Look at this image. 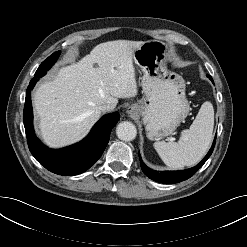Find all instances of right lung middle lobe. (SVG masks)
Listing matches in <instances>:
<instances>
[{
  "label": "right lung middle lobe",
  "instance_id": "obj_1",
  "mask_svg": "<svg viewBox=\"0 0 247 247\" xmlns=\"http://www.w3.org/2000/svg\"><path fill=\"white\" fill-rule=\"evenodd\" d=\"M59 55H60V51H57L53 53L51 56H49L45 61H43L39 66V68L37 69L33 79H37L44 76L47 70L56 62Z\"/></svg>",
  "mask_w": 247,
  "mask_h": 247
}]
</instances>
